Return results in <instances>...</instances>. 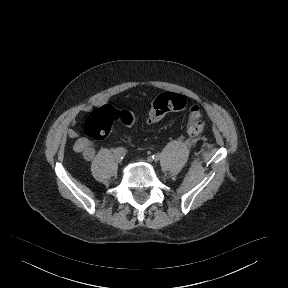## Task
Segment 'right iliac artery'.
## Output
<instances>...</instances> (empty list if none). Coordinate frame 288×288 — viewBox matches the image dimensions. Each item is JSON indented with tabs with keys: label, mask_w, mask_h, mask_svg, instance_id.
<instances>
[{
	"label": "right iliac artery",
	"mask_w": 288,
	"mask_h": 288,
	"mask_svg": "<svg viewBox=\"0 0 288 288\" xmlns=\"http://www.w3.org/2000/svg\"><path fill=\"white\" fill-rule=\"evenodd\" d=\"M126 154V150L124 148H117L115 151H114V155L116 158L118 159H123V157L125 156Z\"/></svg>",
	"instance_id": "82829eb1"
}]
</instances>
